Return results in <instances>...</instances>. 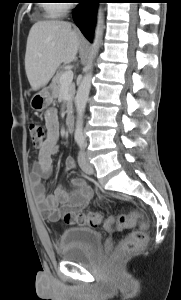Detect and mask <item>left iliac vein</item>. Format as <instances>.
<instances>
[{"label": "left iliac vein", "mask_w": 181, "mask_h": 300, "mask_svg": "<svg viewBox=\"0 0 181 300\" xmlns=\"http://www.w3.org/2000/svg\"><path fill=\"white\" fill-rule=\"evenodd\" d=\"M78 162L82 171L88 175H92L94 173V168L92 164L89 162L86 153L84 150H81L78 155Z\"/></svg>", "instance_id": "left-iliac-vein-1"}]
</instances>
